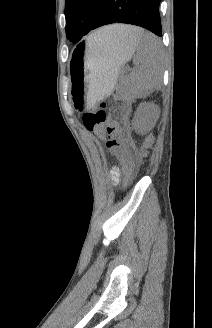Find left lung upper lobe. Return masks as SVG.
I'll use <instances>...</instances> for the list:
<instances>
[{"mask_svg":"<svg viewBox=\"0 0 212 328\" xmlns=\"http://www.w3.org/2000/svg\"><path fill=\"white\" fill-rule=\"evenodd\" d=\"M103 0H66V36L71 42H79L91 31Z\"/></svg>","mask_w":212,"mask_h":328,"instance_id":"left-lung-upper-lobe-1","label":"left lung upper lobe"}]
</instances>
